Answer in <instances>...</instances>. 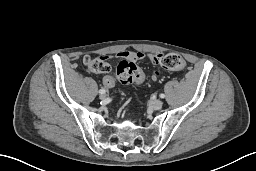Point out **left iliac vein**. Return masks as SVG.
I'll use <instances>...</instances> for the list:
<instances>
[{
  "label": "left iliac vein",
  "instance_id": "1",
  "mask_svg": "<svg viewBox=\"0 0 256 171\" xmlns=\"http://www.w3.org/2000/svg\"><path fill=\"white\" fill-rule=\"evenodd\" d=\"M163 102L159 99H155L151 101V106L155 110H160L162 108Z\"/></svg>",
  "mask_w": 256,
  "mask_h": 171
}]
</instances>
